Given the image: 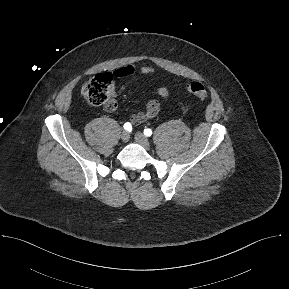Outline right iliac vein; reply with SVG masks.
Instances as JSON below:
<instances>
[{"label":"right iliac vein","mask_w":289,"mask_h":289,"mask_svg":"<svg viewBox=\"0 0 289 289\" xmlns=\"http://www.w3.org/2000/svg\"><path fill=\"white\" fill-rule=\"evenodd\" d=\"M129 138H130V135H129V132L128 131H123L121 133V140L123 142H128L129 141Z\"/></svg>","instance_id":"right-iliac-vein-1"}]
</instances>
